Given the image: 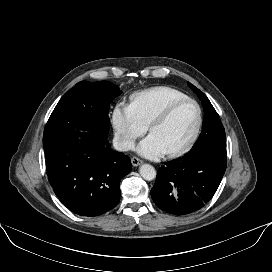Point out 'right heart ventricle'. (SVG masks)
<instances>
[{
  "instance_id": "right-heart-ventricle-1",
  "label": "right heart ventricle",
  "mask_w": 272,
  "mask_h": 272,
  "mask_svg": "<svg viewBox=\"0 0 272 272\" xmlns=\"http://www.w3.org/2000/svg\"><path fill=\"white\" fill-rule=\"evenodd\" d=\"M183 92L169 87L156 86L133 94L130 107L144 126L173 101L186 98Z\"/></svg>"
}]
</instances>
